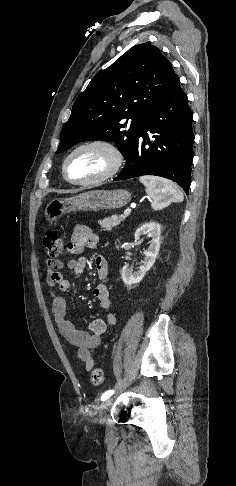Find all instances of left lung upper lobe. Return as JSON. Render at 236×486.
<instances>
[{
  "mask_svg": "<svg viewBox=\"0 0 236 486\" xmlns=\"http://www.w3.org/2000/svg\"><path fill=\"white\" fill-rule=\"evenodd\" d=\"M178 80L158 48L132 47L78 96L56 153L81 141L105 140L115 142L126 159L147 118Z\"/></svg>",
  "mask_w": 236,
  "mask_h": 486,
  "instance_id": "obj_1",
  "label": "left lung upper lobe"
}]
</instances>
